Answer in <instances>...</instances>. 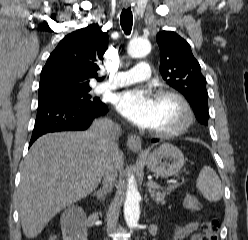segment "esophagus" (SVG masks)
Here are the masks:
<instances>
[{"instance_id":"1","label":"esophagus","mask_w":248,"mask_h":240,"mask_svg":"<svg viewBox=\"0 0 248 240\" xmlns=\"http://www.w3.org/2000/svg\"><path fill=\"white\" fill-rule=\"evenodd\" d=\"M127 145L133 152H141L142 140L136 134H131L128 136Z\"/></svg>"}]
</instances>
